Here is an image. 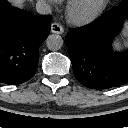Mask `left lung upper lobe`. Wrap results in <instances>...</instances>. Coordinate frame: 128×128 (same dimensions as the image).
Returning <instances> with one entry per match:
<instances>
[{
	"instance_id": "obj_1",
	"label": "left lung upper lobe",
	"mask_w": 128,
	"mask_h": 128,
	"mask_svg": "<svg viewBox=\"0 0 128 128\" xmlns=\"http://www.w3.org/2000/svg\"><path fill=\"white\" fill-rule=\"evenodd\" d=\"M128 3V0H123L120 4Z\"/></svg>"
}]
</instances>
